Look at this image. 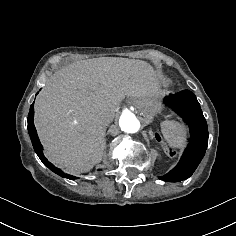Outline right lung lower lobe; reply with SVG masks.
Returning a JSON list of instances; mask_svg holds the SVG:
<instances>
[{"label": "right lung lower lobe", "mask_w": 236, "mask_h": 236, "mask_svg": "<svg viewBox=\"0 0 236 236\" xmlns=\"http://www.w3.org/2000/svg\"><path fill=\"white\" fill-rule=\"evenodd\" d=\"M33 117H34V102L32 103V105L30 106V112L28 114V132L32 141V145L34 147V150L36 152V154L38 155V157L40 158V160L50 169L52 170L54 173L58 174L61 177L64 178H68V179H76V177H73L71 175L68 174H64L60 169L56 168L55 166H53L43 155L42 149L43 146L41 145L34 123H33Z\"/></svg>", "instance_id": "obj_1"}]
</instances>
